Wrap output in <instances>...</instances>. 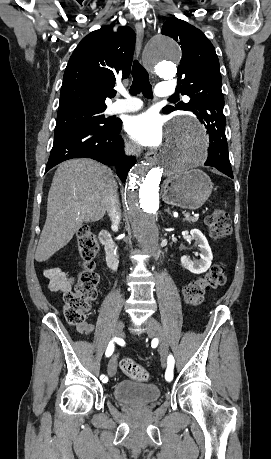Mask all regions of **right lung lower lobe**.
I'll use <instances>...</instances> for the list:
<instances>
[{
	"mask_svg": "<svg viewBox=\"0 0 271 459\" xmlns=\"http://www.w3.org/2000/svg\"><path fill=\"white\" fill-rule=\"evenodd\" d=\"M121 126L118 120L108 128L78 127L55 134L45 173L65 160L85 157L105 165H116L117 175L125 182L136 159L124 155V143L118 135Z\"/></svg>",
	"mask_w": 271,
	"mask_h": 459,
	"instance_id": "right-lung-lower-lobe-1",
	"label": "right lung lower lobe"
}]
</instances>
